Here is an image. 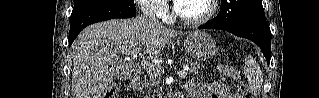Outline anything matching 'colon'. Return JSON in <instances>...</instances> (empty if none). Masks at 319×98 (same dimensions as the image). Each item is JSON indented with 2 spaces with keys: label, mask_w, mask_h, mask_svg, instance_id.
I'll list each match as a JSON object with an SVG mask.
<instances>
[{
  "label": "colon",
  "mask_w": 319,
  "mask_h": 98,
  "mask_svg": "<svg viewBox=\"0 0 319 98\" xmlns=\"http://www.w3.org/2000/svg\"><path fill=\"white\" fill-rule=\"evenodd\" d=\"M218 70L225 76L231 78H237L238 74L236 70L227 65H219ZM237 89L240 92L242 98H254L253 92L250 90L248 85L245 82L240 81L237 85ZM119 95V87L117 84L110 85L103 94V98H118Z\"/></svg>",
  "instance_id": "1"
}]
</instances>
